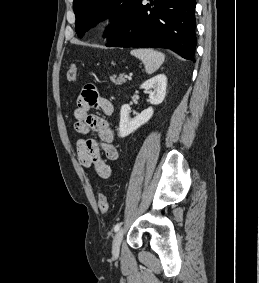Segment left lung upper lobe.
<instances>
[{"label": "left lung upper lobe", "instance_id": "obj_1", "mask_svg": "<svg viewBox=\"0 0 259 283\" xmlns=\"http://www.w3.org/2000/svg\"><path fill=\"white\" fill-rule=\"evenodd\" d=\"M136 0H74L75 30L81 38L95 23L110 18L113 25L106 32L107 40L123 26Z\"/></svg>", "mask_w": 259, "mask_h": 283}]
</instances>
